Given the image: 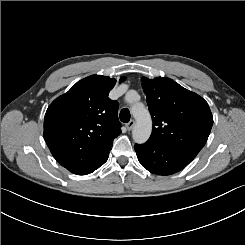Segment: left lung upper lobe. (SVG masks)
<instances>
[{
	"label": "left lung upper lobe",
	"mask_w": 245,
	"mask_h": 245,
	"mask_svg": "<svg viewBox=\"0 0 245 245\" xmlns=\"http://www.w3.org/2000/svg\"><path fill=\"white\" fill-rule=\"evenodd\" d=\"M142 87L153 121L148 142L193 160L204 147L213 125L207 102L165 77H142Z\"/></svg>",
	"instance_id": "1"
}]
</instances>
